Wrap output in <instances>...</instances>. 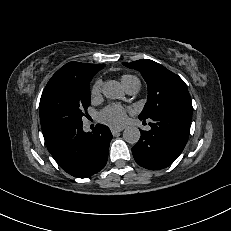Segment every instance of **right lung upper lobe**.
<instances>
[{
  "mask_svg": "<svg viewBox=\"0 0 231 231\" xmlns=\"http://www.w3.org/2000/svg\"><path fill=\"white\" fill-rule=\"evenodd\" d=\"M105 64H87L80 62H69L62 66L53 77H73L77 79H92L93 76L102 68ZM50 135H44L45 139Z\"/></svg>",
  "mask_w": 231,
  "mask_h": 231,
  "instance_id": "1",
  "label": "right lung upper lobe"
}]
</instances>
